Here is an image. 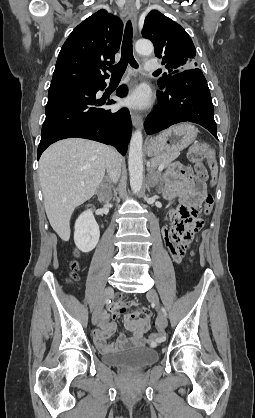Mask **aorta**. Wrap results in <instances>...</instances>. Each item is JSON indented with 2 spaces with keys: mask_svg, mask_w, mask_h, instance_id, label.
<instances>
[{
  "mask_svg": "<svg viewBox=\"0 0 255 418\" xmlns=\"http://www.w3.org/2000/svg\"><path fill=\"white\" fill-rule=\"evenodd\" d=\"M135 49L139 54L150 55L153 52V45L149 40H138L135 44ZM142 144V132L138 129L132 134L128 159L130 186L134 193L140 191L143 183Z\"/></svg>",
  "mask_w": 255,
  "mask_h": 418,
  "instance_id": "obj_1",
  "label": "aorta"
}]
</instances>
